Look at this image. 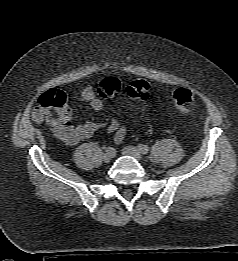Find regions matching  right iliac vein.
Returning <instances> with one entry per match:
<instances>
[{
	"label": "right iliac vein",
	"instance_id": "obj_1",
	"mask_svg": "<svg viewBox=\"0 0 238 261\" xmlns=\"http://www.w3.org/2000/svg\"><path fill=\"white\" fill-rule=\"evenodd\" d=\"M114 156H115V153H107V151L105 152V154H104V160H105V162H110L113 158H114Z\"/></svg>",
	"mask_w": 238,
	"mask_h": 261
}]
</instances>
